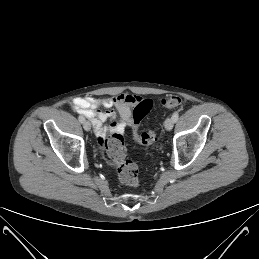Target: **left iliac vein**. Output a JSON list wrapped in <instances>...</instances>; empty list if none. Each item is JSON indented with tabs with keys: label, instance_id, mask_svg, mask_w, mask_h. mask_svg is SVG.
I'll return each mask as SVG.
<instances>
[{
	"label": "left iliac vein",
	"instance_id": "left-iliac-vein-1",
	"mask_svg": "<svg viewBox=\"0 0 259 259\" xmlns=\"http://www.w3.org/2000/svg\"><path fill=\"white\" fill-rule=\"evenodd\" d=\"M174 121L172 118H167L164 122L165 129L170 131L173 128Z\"/></svg>",
	"mask_w": 259,
	"mask_h": 259
}]
</instances>
